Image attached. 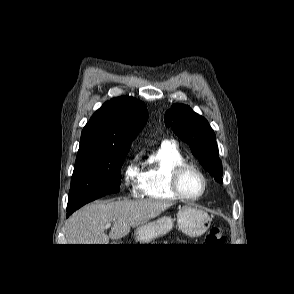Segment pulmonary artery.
<instances>
[{"instance_id":"1","label":"pulmonary artery","mask_w":294,"mask_h":294,"mask_svg":"<svg viewBox=\"0 0 294 294\" xmlns=\"http://www.w3.org/2000/svg\"><path fill=\"white\" fill-rule=\"evenodd\" d=\"M163 143L172 144L171 141H164Z\"/></svg>"}]
</instances>
